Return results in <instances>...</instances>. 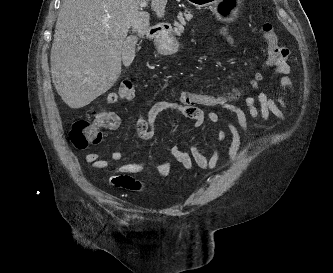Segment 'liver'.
<instances>
[{
	"label": "liver",
	"mask_w": 333,
	"mask_h": 273,
	"mask_svg": "<svg viewBox=\"0 0 333 273\" xmlns=\"http://www.w3.org/2000/svg\"><path fill=\"white\" fill-rule=\"evenodd\" d=\"M145 0H63L50 64L52 82L73 109L85 107L107 92L121 73L122 47L128 31L143 37L149 29ZM168 0H151L158 18Z\"/></svg>",
	"instance_id": "6515ba94"
}]
</instances>
